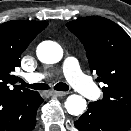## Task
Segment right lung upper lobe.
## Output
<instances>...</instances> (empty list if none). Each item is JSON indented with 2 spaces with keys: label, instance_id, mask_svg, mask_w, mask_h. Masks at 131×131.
Masks as SVG:
<instances>
[{
  "label": "right lung upper lobe",
  "instance_id": "1",
  "mask_svg": "<svg viewBox=\"0 0 131 131\" xmlns=\"http://www.w3.org/2000/svg\"><path fill=\"white\" fill-rule=\"evenodd\" d=\"M47 25L43 21L27 20H13L0 25V96L34 92L15 85L18 77L13 72L21 66L19 58L23 51Z\"/></svg>",
  "mask_w": 131,
  "mask_h": 131
}]
</instances>
